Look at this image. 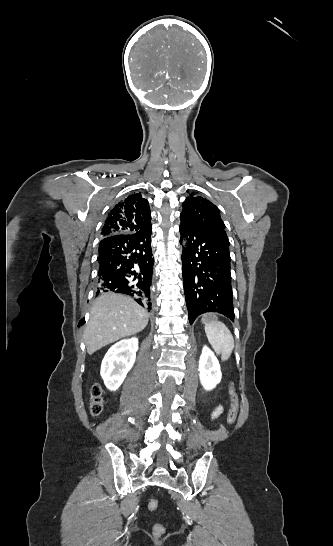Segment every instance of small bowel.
<instances>
[{
	"label": "small bowel",
	"instance_id": "obj_1",
	"mask_svg": "<svg viewBox=\"0 0 333 546\" xmlns=\"http://www.w3.org/2000/svg\"><path fill=\"white\" fill-rule=\"evenodd\" d=\"M223 412L222 406H218L211 414L212 419H216Z\"/></svg>",
	"mask_w": 333,
	"mask_h": 546
}]
</instances>
